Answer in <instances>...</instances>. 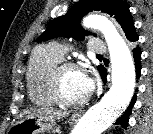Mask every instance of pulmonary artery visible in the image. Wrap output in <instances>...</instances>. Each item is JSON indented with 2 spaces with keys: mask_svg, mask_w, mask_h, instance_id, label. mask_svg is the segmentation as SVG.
I'll return each instance as SVG.
<instances>
[{
  "mask_svg": "<svg viewBox=\"0 0 153 134\" xmlns=\"http://www.w3.org/2000/svg\"><path fill=\"white\" fill-rule=\"evenodd\" d=\"M50 47L61 58L66 53V48L61 44L53 43ZM89 48L95 54H103L106 52L105 44L99 39H92L89 43Z\"/></svg>",
  "mask_w": 153,
  "mask_h": 134,
  "instance_id": "1",
  "label": "pulmonary artery"
}]
</instances>
